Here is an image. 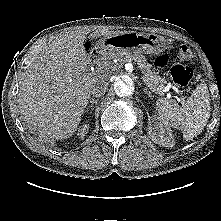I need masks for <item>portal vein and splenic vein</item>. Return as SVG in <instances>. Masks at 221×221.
Listing matches in <instances>:
<instances>
[{"label": "portal vein and splenic vein", "mask_w": 221, "mask_h": 221, "mask_svg": "<svg viewBox=\"0 0 221 221\" xmlns=\"http://www.w3.org/2000/svg\"><path fill=\"white\" fill-rule=\"evenodd\" d=\"M171 88V86H166L163 88L162 92H168Z\"/></svg>", "instance_id": "18ae733b"}]
</instances>
